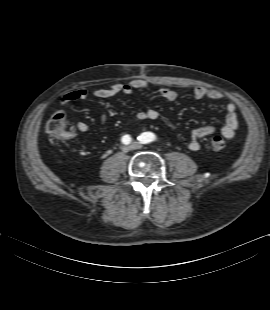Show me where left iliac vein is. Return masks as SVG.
Instances as JSON below:
<instances>
[{"mask_svg":"<svg viewBox=\"0 0 270 310\" xmlns=\"http://www.w3.org/2000/svg\"><path fill=\"white\" fill-rule=\"evenodd\" d=\"M130 146H131V148L134 149V150H135V149H141V148H142V144H141L140 142H132Z\"/></svg>","mask_w":270,"mask_h":310,"instance_id":"1","label":"left iliac vein"}]
</instances>
